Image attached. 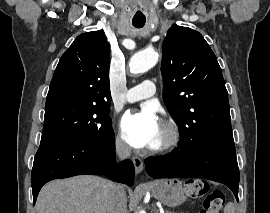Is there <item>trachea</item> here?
I'll return each instance as SVG.
<instances>
[{"label": "trachea", "instance_id": "1", "mask_svg": "<svg viewBox=\"0 0 270 213\" xmlns=\"http://www.w3.org/2000/svg\"><path fill=\"white\" fill-rule=\"evenodd\" d=\"M146 19H133L132 24L136 28H142L145 25Z\"/></svg>", "mask_w": 270, "mask_h": 213}]
</instances>
